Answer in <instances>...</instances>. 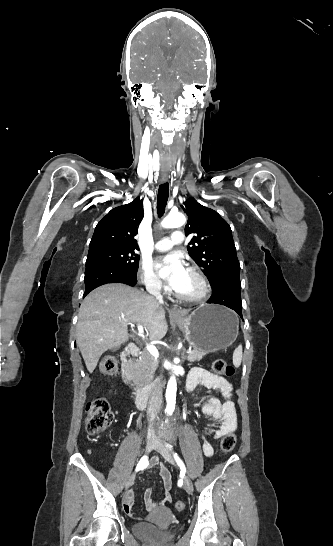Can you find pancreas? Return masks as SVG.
Instances as JSON below:
<instances>
[{
	"label": "pancreas",
	"mask_w": 333,
	"mask_h": 546,
	"mask_svg": "<svg viewBox=\"0 0 333 546\" xmlns=\"http://www.w3.org/2000/svg\"><path fill=\"white\" fill-rule=\"evenodd\" d=\"M207 352L194 349L189 353L187 360L189 362L200 361ZM157 359H155L148 351L142 352L139 359L136 361V371L131 377L133 383L140 389L146 387L152 380L157 369Z\"/></svg>",
	"instance_id": "cf45deb5"
}]
</instances>
